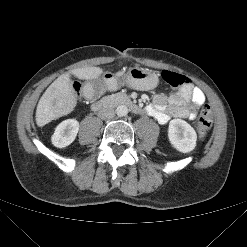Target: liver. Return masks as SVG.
Masks as SVG:
<instances>
[{
    "label": "liver",
    "mask_w": 247,
    "mask_h": 247,
    "mask_svg": "<svg viewBox=\"0 0 247 247\" xmlns=\"http://www.w3.org/2000/svg\"><path fill=\"white\" fill-rule=\"evenodd\" d=\"M125 70L118 71L115 76L120 77ZM103 73L100 67H84L73 69L69 73L59 76L44 92L36 109V124L43 127L52 120L71 113L76 104L77 96L71 85L70 74L81 80L97 79Z\"/></svg>",
    "instance_id": "liver-1"
}]
</instances>
